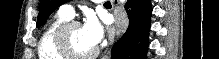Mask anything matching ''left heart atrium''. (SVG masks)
I'll list each match as a JSON object with an SVG mask.
<instances>
[{
    "label": "left heart atrium",
    "mask_w": 219,
    "mask_h": 59,
    "mask_svg": "<svg viewBox=\"0 0 219 59\" xmlns=\"http://www.w3.org/2000/svg\"><path fill=\"white\" fill-rule=\"evenodd\" d=\"M82 33L92 46H97L103 36V29L98 20L94 17H88L81 27Z\"/></svg>",
    "instance_id": "39dd6f15"
}]
</instances>
